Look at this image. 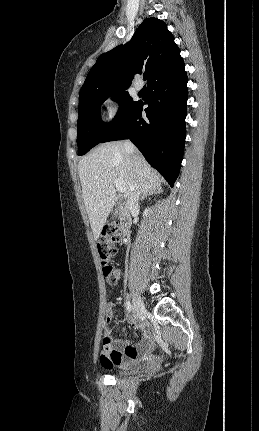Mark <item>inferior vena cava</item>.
I'll list each match as a JSON object with an SVG mask.
<instances>
[{
  "instance_id": "inferior-vena-cava-1",
  "label": "inferior vena cava",
  "mask_w": 259,
  "mask_h": 431,
  "mask_svg": "<svg viewBox=\"0 0 259 431\" xmlns=\"http://www.w3.org/2000/svg\"><path fill=\"white\" fill-rule=\"evenodd\" d=\"M124 146H125V149L131 154V156H133V153L135 150L134 145L130 141H126ZM138 200H139V188L136 185L134 192L131 194V196L127 200V204H126L127 210L131 212L135 208H137L138 207Z\"/></svg>"
}]
</instances>
